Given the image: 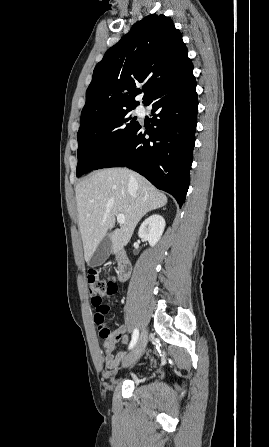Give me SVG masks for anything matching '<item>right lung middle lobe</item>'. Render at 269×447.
Returning <instances> with one entry per match:
<instances>
[{
	"mask_svg": "<svg viewBox=\"0 0 269 447\" xmlns=\"http://www.w3.org/2000/svg\"><path fill=\"white\" fill-rule=\"evenodd\" d=\"M136 106L109 111L79 128L78 177L94 170L139 127L131 113Z\"/></svg>",
	"mask_w": 269,
	"mask_h": 447,
	"instance_id": "right-lung-middle-lobe-1",
	"label": "right lung middle lobe"
}]
</instances>
